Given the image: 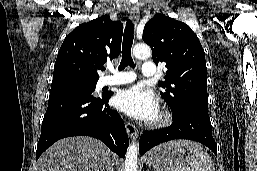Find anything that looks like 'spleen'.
<instances>
[{"label":"spleen","mask_w":257,"mask_h":171,"mask_svg":"<svg viewBox=\"0 0 257 171\" xmlns=\"http://www.w3.org/2000/svg\"><path fill=\"white\" fill-rule=\"evenodd\" d=\"M169 147H185L189 150L175 171H215L214 163L207 151L198 143L189 140H174L166 144Z\"/></svg>","instance_id":"1"}]
</instances>
